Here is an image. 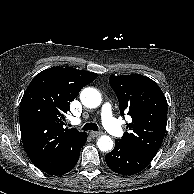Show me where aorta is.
<instances>
[{"instance_id": "1", "label": "aorta", "mask_w": 194, "mask_h": 194, "mask_svg": "<svg viewBox=\"0 0 194 194\" xmlns=\"http://www.w3.org/2000/svg\"><path fill=\"white\" fill-rule=\"evenodd\" d=\"M80 100L82 104L88 108H96L102 101L101 94L98 90L91 87L84 88L81 91ZM113 145V140L106 135H102L97 141L98 148L103 152L112 150Z\"/></svg>"}]
</instances>
